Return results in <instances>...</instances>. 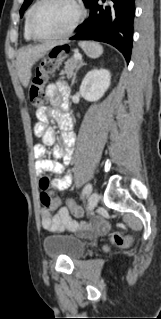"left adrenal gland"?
<instances>
[{"instance_id": "left-adrenal-gland-1", "label": "left adrenal gland", "mask_w": 161, "mask_h": 319, "mask_svg": "<svg viewBox=\"0 0 161 319\" xmlns=\"http://www.w3.org/2000/svg\"><path fill=\"white\" fill-rule=\"evenodd\" d=\"M84 65H86V63H84L83 61H81V62H80V65H79V67H78V69H79L80 67L84 66ZM78 69H77V70H78ZM76 73H77V71H76ZM76 73L74 74V77H73L71 86H73V84L75 83Z\"/></svg>"}]
</instances>
